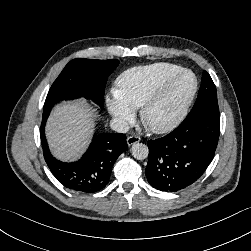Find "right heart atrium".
<instances>
[{"instance_id":"1","label":"right heart atrium","mask_w":251,"mask_h":251,"mask_svg":"<svg viewBox=\"0 0 251 251\" xmlns=\"http://www.w3.org/2000/svg\"><path fill=\"white\" fill-rule=\"evenodd\" d=\"M105 104L109 114L119 127H124L134 116V110L115 91L107 95Z\"/></svg>"}]
</instances>
